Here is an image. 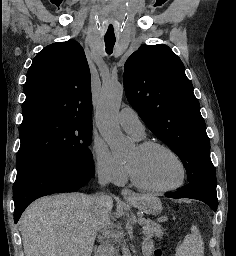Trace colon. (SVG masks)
Instances as JSON below:
<instances>
[{
  "label": "colon",
  "instance_id": "5ec220e1",
  "mask_svg": "<svg viewBox=\"0 0 236 256\" xmlns=\"http://www.w3.org/2000/svg\"><path fill=\"white\" fill-rule=\"evenodd\" d=\"M152 256H163V250L158 243L153 249Z\"/></svg>",
  "mask_w": 236,
  "mask_h": 256
}]
</instances>
